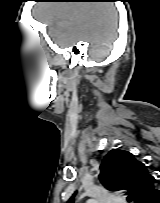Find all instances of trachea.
<instances>
[{"label": "trachea", "instance_id": "obj_1", "mask_svg": "<svg viewBox=\"0 0 160 203\" xmlns=\"http://www.w3.org/2000/svg\"><path fill=\"white\" fill-rule=\"evenodd\" d=\"M131 197L130 196H128V198H127V201L130 203L131 202Z\"/></svg>", "mask_w": 160, "mask_h": 203}]
</instances>
